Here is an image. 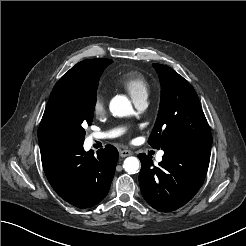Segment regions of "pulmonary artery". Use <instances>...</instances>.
<instances>
[{
  "instance_id": "1",
  "label": "pulmonary artery",
  "mask_w": 246,
  "mask_h": 246,
  "mask_svg": "<svg viewBox=\"0 0 246 246\" xmlns=\"http://www.w3.org/2000/svg\"><path fill=\"white\" fill-rule=\"evenodd\" d=\"M135 106L140 109L143 110L147 107V97H143L140 99H137L134 101ZM121 132V130H114V131H110V132H101V133H94L92 134L91 138L92 139H97V140H101V139H106V138H112L117 136L119 133ZM163 157V152L158 153L157 155V160L161 161Z\"/></svg>"
}]
</instances>
